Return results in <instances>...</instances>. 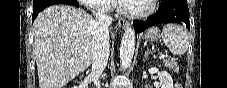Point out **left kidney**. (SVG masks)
<instances>
[{"label": "left kidney", "mask_w": 227, "mask_h": 88, "mask_svg": "<svg viewBox=\"0 0 227 88\" xmlns=\"http://www.w3.org/2000/svg\"><path fill=\"white\" fill-rule=\"evenodd\" d=\"M149 73H157L161 88H173V79L167 71H159L158 68L152 67L148 69Z\"/></svg>", "instance_id": "1"}]
</instances>
